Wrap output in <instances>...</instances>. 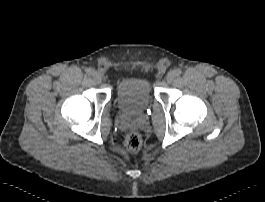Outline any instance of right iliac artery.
<instances>
[{
    "label": "right iliac artery",
    "mask_w": 265,
    "mask_h": 202,
    "mask_svg": "<svg viewBox=\"0 0 265 202\" xmlns=\"http://www.w3.org/2000/svg\"><path fill=\"white\" fill-rule=\"evenodd\" d=\"M93 72H94V70L91 69V68L86 69V74L89 75V76L92 75Z\"/></svg>",
    "instance_id": "82829eb1"
}]
</instances>
